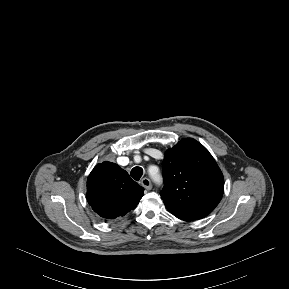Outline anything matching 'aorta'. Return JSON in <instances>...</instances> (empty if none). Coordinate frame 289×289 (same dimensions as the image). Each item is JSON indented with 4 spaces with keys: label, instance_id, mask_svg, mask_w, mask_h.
I'll return each mask as SVG.
<instances>
[{
    "label": "aorta",
    "instance_id": "762f6f07",
    "mask_svg": "<svg viewBox=\"0 0 289 289\" xmlns=\"http://www.w3.org/2000/svg\"><path fill=\"white\" fill-rule=\"evenodd\" d=\"M152 179L155 181V182H160L161 181V177L158 175V174H152L150 173Z\"/></svg>",
    "mask_w": 289,
    "mask_h": 289
}]
</instances>
